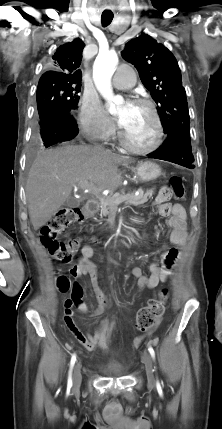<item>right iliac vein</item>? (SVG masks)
<instances>
[{"label": "right iliac vein", "instance_id": "1", "mask_svg": "<svg viewBox=\"0 0 222 429\" xmlns=\"http://www.w3.org/2000/svg\"><path fill=\"white\" fill-rule=\"evenodd\" d=\"M82 375H81V364L77 362L74 371H73V387L74 389H78L81 385Z\"/></svg>", "mask_w": 222, "mask_h": 429}]
</instances>
